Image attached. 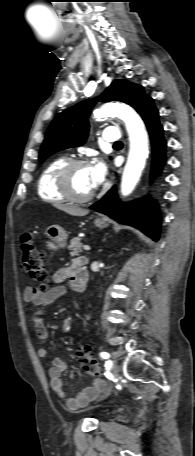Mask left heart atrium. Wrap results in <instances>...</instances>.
<instances>
[{
  "label": "left heart atrium",
  "mask_w": 195,
  "mask_h": 456,
  "mask_svg": "<svg viewBox=\"0 0 195 456\" xmlns=\"http://www.w3.org/2000/svg\"><path fill=\"white\" fill-rule=\"evenodd\" d=\"M90 168V177L92 188H97L105 179L106 165L103 162H98Z\"/></svg>",
  "instance_id": "obj_1"
}]
</instances>
